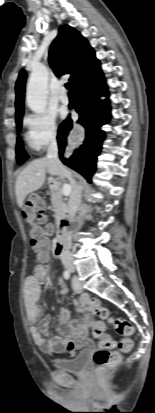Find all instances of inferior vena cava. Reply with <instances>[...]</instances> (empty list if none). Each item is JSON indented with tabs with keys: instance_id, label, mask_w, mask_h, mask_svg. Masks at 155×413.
I'll list each match as a JSON object with an SVG mask.
<instances>
[{
	"instance_id": "obj_1",
	"label": "inferior vena cava",
	"mask_w": 155,
	"mask_h": 413,
	"mask_svg": "<svg viewBox=\"0 0 155 413\" xmlns=\"http://www.w3.org/2000/svg\"><path fill=\"white\" fill-rule=\"evenodd\" d=\"M47 159L50 161L51 164L56 166L60 172V174L66 178H68L71 183L73 184V191L69 199V220L70 222L73 221L75 213L81 203V186L78 185L72 177V173L67 170V168L61 163L58 158V144L55 137H53L50 141V144L47 149ZM62 263L63 265L69 269V271L74 272L75 266L72 254L68 247L62 252Z\"/></svg>"
}]
</instances>
